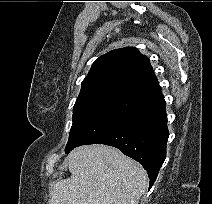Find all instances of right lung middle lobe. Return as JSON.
Masks as SVG:
<instances>
[{
  "label": "right lung middle lobe",
  "mask_w": 212,
  "mask_h": 204,
  "mask_svg": "<svg viewBox=\"0 0 212 204\" xmlns=\"http://www.w3.org/2000/svg\"><path fill=\"white\" fill-rule=\"evenodd\" d=\"M142 104L103 98L75 105L66 152L83 144H93L126 124Z\"/></svg>",
  "instance_id": "obj_1"
}]
</instances>
